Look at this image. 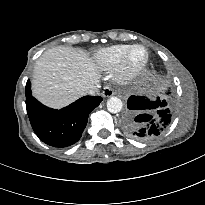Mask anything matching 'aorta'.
<instances>
[{
  "instance_id": "obj_1",
  "label": "aorta",
  "mask_w": 205,
  "mask_h": 205,
  "mask_svg": "<svg viewBox=\"0 0 205 205\" xmlns=\"http://www.w3.org/2000/svg\"><path fill=\"white\" fill-rule=\"evenodd\" d=\"M123 108L122 100L118 97H110L107 100V109L111 113H119Z\"/></svg>"
}]
</instances>
